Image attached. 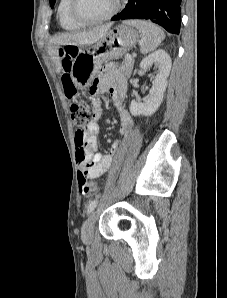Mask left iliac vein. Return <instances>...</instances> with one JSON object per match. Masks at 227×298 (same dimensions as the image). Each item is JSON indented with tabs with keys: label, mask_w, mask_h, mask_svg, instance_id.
I'll return each mask as SVG.
<instances>
[{
	"label": "left iliac vein",
	"mask_w": 227,
	"mask_h": 298,
	"mask_svg": "<svg viewBox=\"0 0 227 298\" xmlns=\"http://www.w3.org/2000/svg\"><path fill=\"white\" fill-rule=\"evenodd\" d=\"M96 220V213L92 212L86 221L83 223L81 238L84 242L90 243L94 236V224Z\"/></svg>",
	"instance_id": "obj_1"
}]
</instances>
